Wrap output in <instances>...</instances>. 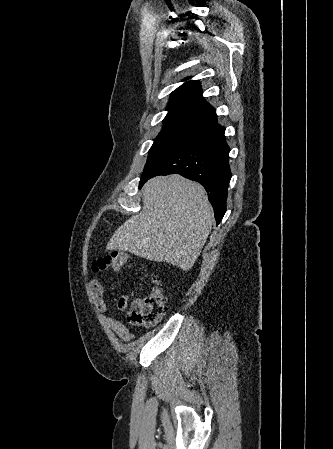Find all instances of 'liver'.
<instances>
[{
	"label": "liver",
	"mask_w": 333,
	"mask_h": 449,
	"mask_svg": "<svg viewBox=\"0 0 333 449\" xmlns=\"http://www.w3.org/2000/svg\"><path fill=\"white\" fill-rule=\"evenodd\" d=\"M142 194V211L119 226L107 249L191 269L214 223L204 188L174 174L149 180Z\"/></svg>",
	"instance_id": "6515ba94"
}]
</instances>
